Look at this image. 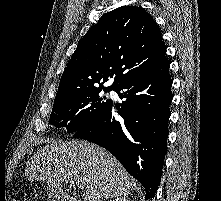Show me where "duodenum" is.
<instances>
[{
  "label": "duodenum",
  "instance_id": "obj_1",
  "mask_svg": "<svg viewBox=\"0 0 221 201\" xmlns=\"http://www.w3.org/2000/svg\"><path fill=\"white\" fill-rule=\"evenodd\" d=\"M56 197H57V201H75L71 197H64L60 194H57Z\"/></svg>",
  "mask_w": 221,
  "mask_h": 201
}]
</instances>
